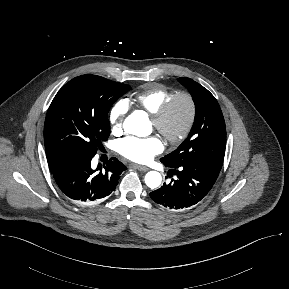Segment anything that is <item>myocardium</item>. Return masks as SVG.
<instances>
[{
    "label": "myocardium",
    "instance_id": "myocardium-1",
    "mask_svg": "<svg viewBox=\"0 0 289 289\" xmlns=\"http://www.w3.org/2000/svg\"><path fill=\"white\" fill-rule=\"evenodd\" d=\"M186 100L189 106L188 118L180 131L175 134L169 132L167 122L175 105L179 100ZM197 102L195 97L188 91L175 92L161 107L152 114V122L155 129L162 135L166 142L178 145L186 140L191 134L197 119Z\"/></svg>",
    "mask_w": 289,
    "mask_h": 289
}]
</instances>
